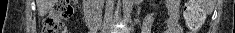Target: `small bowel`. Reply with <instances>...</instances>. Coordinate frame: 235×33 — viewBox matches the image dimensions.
<instances>
[{
  "label": "small bowel",
  "mask_w": 235,
  "mask_h": 33,
  "mask_svg": "<svg viewBox=\"0 0 235 33\" xmlns=\"http://www.w3.org/2000/svg\"><path fill=\"white\" fill-rule=\"evenodd\" d=\"M179 5L178 0H168L166 2L168 16L162 33H183V29L179 24ZM153 22V14L146 16L142 26V33H150Z\"/></svg>",
  "instance_id": "1"
}]
</instances>
